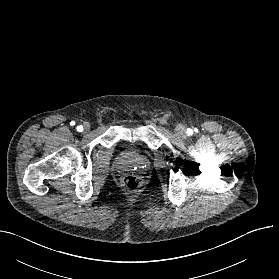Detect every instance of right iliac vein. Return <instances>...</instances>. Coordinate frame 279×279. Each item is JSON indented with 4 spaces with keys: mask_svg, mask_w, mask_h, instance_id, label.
I'll list each match as a JSON object with an SVG mask.
<instances>
[{
    "mask_svg": "<svg viewBox=\"0 0 279 279\" xmlns=\"http://www.w3.org/2000/svg\"><path fill=\"white\" fill-rule=\"evenodd\" d=\"M90 129V125L88 123L84 124V131L87 132Z\"/></svg>",
    "mask_w": 279,
    "mask_h": 279,
    "instance_id": "right-iliac-vein-1",
    "label": "right iliac vein"
}]
</instances>
